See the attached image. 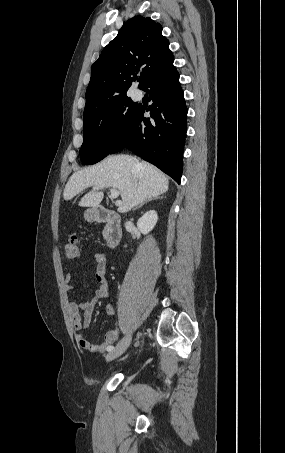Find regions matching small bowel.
Instances as JSON below:
<instances>
[{
	"mask_svg": "<svg viewBox=\"0 0 285 453\" xmlns=\"http://www.w3.org/2000/svg\"><path fill=\"white\" fill-rule=\"evenodd\" d=\"M95 262V279L99 283L94 294L87 300H75L70 304V313L73 324V329L76 332V341L79 347L90 353H103L108 347L112 346L118 339L119 328L116 326L106 332L103 340L100 343H91L81 332L88 328L92 314L98 300L106 298L109 295L110 286L106 275L107 258L102 252H96L92 255ZM71 279V275L67 276V280ZM72 285H68V290H73ZM105 313L108 316L113 315L114 308L108 304L105 307Z\"/></svg>",
	"mask_w": 285,
	"mask_h": 453,
	"instance_id": "small-bowel-1",
	"label": "small bowel"
}]
</instances>
